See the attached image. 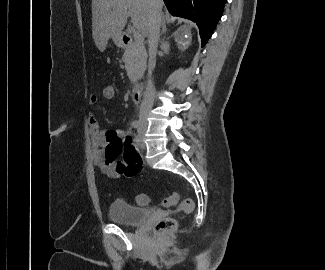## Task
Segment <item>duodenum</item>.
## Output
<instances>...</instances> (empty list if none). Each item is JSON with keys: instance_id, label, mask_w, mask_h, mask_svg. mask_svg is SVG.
Instances as JSON below:
<instances>
[{"instance_id": "obj_1", "label": "duodenum", "mask_w": 325, "mask_h": 270, "mask_svg": "<svg viewBox=\"0 0 325 270\" xmlns=\"http://www.w3.org/2000/svg\"><path fill=\"white\" fill-rule=\"evenodd\" d=\"M123 41L125 43H129L131 41L130 36L127 35V34H124L123 35ZM132 96H133V101L135 103H137V104L142 103L143 100H144V87L142 85L135 86L134 89H133Z\"/></svg>"}]
</instances>
